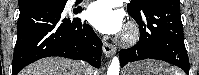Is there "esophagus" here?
I'll list each match as a JSON object with an SVG mask.
<instances>
[{"label": "esophagus", "instance_id": "1", "mask_svg": "<svg viewBox=\"0 0 199 75\" xmlns=\"http://www.w3.org/2000/svg\"><path fill=\"white\" fill-rule=\"evenodd\" d=\"M103 51L106 57H111L115 52L116 49L114 46L109 44L106 39L103 40Z\"/></svg>", "mask_w": 199, "mask_h": 75}]
</instances>
